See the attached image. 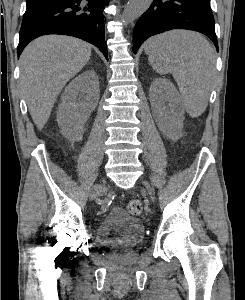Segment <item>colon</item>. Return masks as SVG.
Segmentation results:
<instances>
[{"label":"colon","mask_w":245,"mask_h":300,"mask_svg":"<svg viewBox=\"0 0 245 300\" xmlns=\"http://www.w3.org/2000/svg\"><path fill=\"white\" fill-rule=\"evenodd\" d=\"M127 210L131 215H140L143 211L142 203L139 200H131L127 204Z\"/></svg>","instance_id":"colon-1"}]
</instances>
